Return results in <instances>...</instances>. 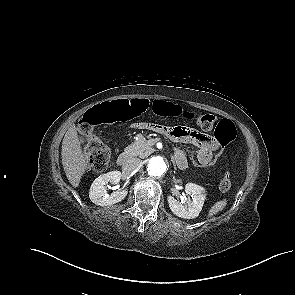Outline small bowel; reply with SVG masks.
<instances>
[{
	"instance_id": "c3829d8e",
	"label": "small bowel",
	"mask_w": 295,
	"mask_h": 295,
	"mask_svg": "<svg viewBox=\"0 0 295 295\" xmlns=\"http://www.w3.org/2000/svg\"><path fill=\"white\" fill-rule=\"evenodd\" d=\"M134 127L163 133L170 139L179 143L192 144L195 147L192 152L194 153L198 164L207 163L213 160L214 155L220 148V143L215 138L187 127L171 128L149 123H139L134 125ZM174 161L181 169L187 167L189 160L185 155L184 149L177 148L174 151Z\"/></svg>"
}]
</instances>
